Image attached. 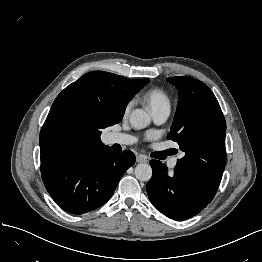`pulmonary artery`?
<instances>
[{"label":"pulmonary artery","instance_id":"pulmonary-artery-1","mask_svg":"<svg viewBox=\"0 0 262 262\" xmlns=\"http://www.w3.org/2000/svg\"><path fill=\"white\" fill-rule=\"evenodd\" d=\"M170 114V108L164 107L152 112L153 119L157 124L164 123ZM108 140L110 144H120V145H131L135 143L136 138L133 135L126 133L114 132L109 134ZM177 163L176 159H173L168 163L170 168H174Z\"/></svg>","mask_w":262,"mask_h":262}]
</instances>
